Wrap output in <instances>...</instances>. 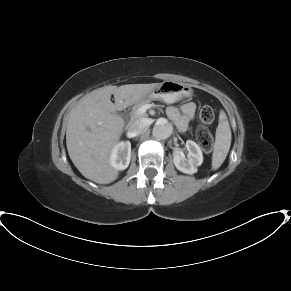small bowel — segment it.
<instances>
[{
  "label": "small bowel",
  "instance_id": "c3829d8e",
  "mask_svg": "<svg viewBox=\"0 0 291 291\" xmlns=\"http://www.w3.org/2000/svg\"><path fill=\"white\" fill-rule=\"evenodd\" d=\"M196 113V105L193 102H185L181 109L175 106L167 108V115L169 119L177 126L181 131H186L189 126V121L194 117Z\"/></svg>",
  "mask_w": 291,
  "mask_h": 291
}]
</instances>
